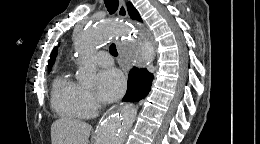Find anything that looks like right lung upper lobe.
<instances>
[{"instance_id":"right-lung-upper-lobe-1","label":"right lung upper lobe","mask_w":260,"mask_h":144,"mask_svg":"<svg viewBox=\"0 0 260 144\" xmlns=\"http://www.w3.org/2000/svg\"><path fill=\"white\" fill-rule=\"evenodd\" d=\"M127 10L132 19L142 21L138 11L134 8V6L130 2L127 3ZM56 54H57V47H55L51 53V56H50V59L48 62L49 69L52 67V64L54 63Z\"/></svg>"}]
</instances>
